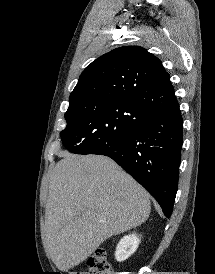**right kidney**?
<instances>
[{
  "label": "right kidney",
  "instance_id": "1",
  "mask_svg": "<svg viewBox=\"0 0 215 274\" xmlns=\"http://www.w3.org/2000/svg\"><path fill=\"white\" fill-rule=\"evenodd\" d=\"M139 243L140 239L136 234L124 236L116 247V260L121 262L128 259L137 250Z\"/></svg>",
  "mask_w": 215,
  "mask_h": 274
}]
</instances>
